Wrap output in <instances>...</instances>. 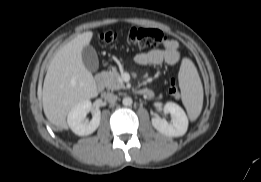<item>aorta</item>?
Masks as SVG:
<instances>
[{
	"instance_id": "1",
	"label": "aorta",
	"mask_w": 261,
	"mask_h": 182,
	"mask_svg": "<svg viewBox=\"0 0 261 182\" xmlns=\"http://www.w3.org/2000/svg\"><path fill=\"white\" fill-rule=\"evenodd\" d=\"M122 103L124 106H131L133 101L131 97H124Z\"/></svg>"
}]
</instances>
